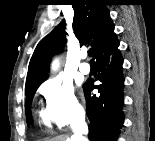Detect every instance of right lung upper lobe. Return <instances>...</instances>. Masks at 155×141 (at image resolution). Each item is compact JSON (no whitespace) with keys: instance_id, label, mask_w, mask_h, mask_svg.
I'll use <instances>...</instances> for the list:
<instances>
[{"instance_id":"obj_1","label":"right lung upper lobe","mask_w":155,"mask_h":141,"mask_svg":"<svg viewBox=\"0 0 155 141\" xmlns=\"http://www.w3.org/2000/svg\"><path fill=\"white\" fill-rule=\"evenodd\" d=\"M73 30L80 45H90L93 52L114 31V24L104 0H75ZM65 21L56 26L37 45L29 63L26 87L47 78L50 59L62 51L65 43Z\"/></svg>"}]
</instances>
